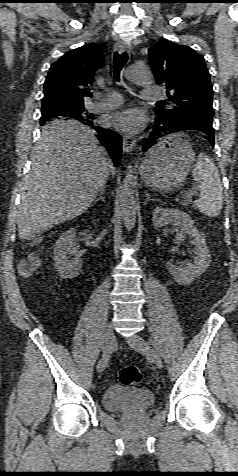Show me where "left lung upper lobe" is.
<instances>
[{
	"label": "left lung upper lobe",
	"mask_w": 238,
	"mask_h": 476,
	"mask_svg": "<svg viewBox=\"0 0 238 476\" xmlns=\"http://www.w3.org/2000/svg\"><path fill=\"white\" fill-rule=\"evenodd\" d=\"M148 52L156 82L165 86L175 103L173 108L158 110V118H213V90L204 58L192 48L167 39L152 45Z\"/></svg>",
	"instance_id": "obj_1"
}]
</instances>
